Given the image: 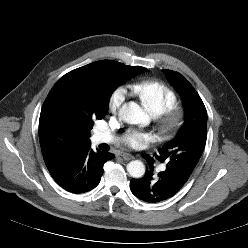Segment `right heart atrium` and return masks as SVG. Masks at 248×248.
<instances>
[{
    "mask_svg": "<svg viewBox=\"0 0 248 248\" xmlns=\"http://www.w3.org/2000/svg\"><path fill=\"white\" fill-rule=\"evenodd\" d=\"M126 99V90L123 87H116L110 93L108 108L112 112H117Z\"/></svg>",
    "mask_w": 248,
    "mask_h": 248,
    "instance_id": "1",
    "label": "right heart atrium"
}]
</instances>
